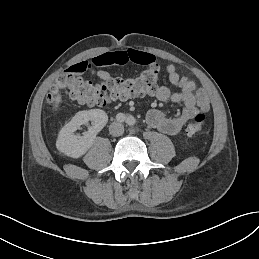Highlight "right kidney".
I'll return each instance as SVG.
<instances>
[{
    "instance_id": "ca27d5eb",
    "label": "right kidney",
    "mask_w": 259,
    "mask_h": 259,
    "mask_svg": "<svg viewBox=\"0 0 259 259\" xmlns=\"http://www.w3.org/2000/svg\"><path fill=\"white\" fill-rule=\"evenodd\" d=\"M92 121V126L88 128L83 136L75 135L74 132L80 129L81 125ZM108 121V116L101 109H91L80 111L75 114L59 132L56 147L59 151L72 158H79L84 155L92 146L98 132H100Z\"/></svg>"
}]
</instances>
